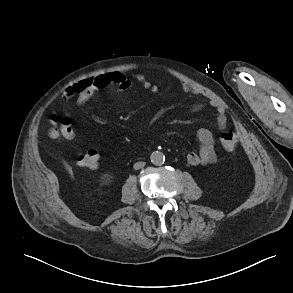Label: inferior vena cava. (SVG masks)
<instances>
[{
	"instance_id": "inferior-vena-cava-1",
	"label": "inferior vena cava",
	"mask_w": 293,
	"mask_h": 293,
	"mask_svg": "<svg viewBox=\"0 0 293 293\" xmlns=\"http://www.w3.org/2000/svg\"><path fill=\"white\" fill-rule=\"evenodd\" d=\"M144 166H145V162H137V163L134 164L133 167H134L135 170H138V169H140V168H142Z\"/></svg>"
}]
</instances>
